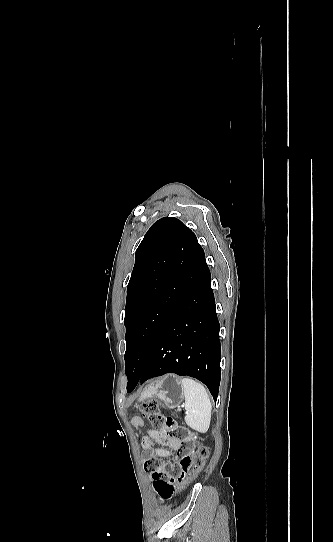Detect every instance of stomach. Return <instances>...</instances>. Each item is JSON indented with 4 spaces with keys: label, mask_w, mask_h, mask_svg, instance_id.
Here are the masks:
<instances>
[{
    "label": "stomach",
    "mask_w": 333,
    "mask_h": 542,
    "mask_svg": "<svg viewBox=\"0 0 333 542\" xmlns=\"http://www.w3.org/2000/svg\"><path fill=\"white\" fill-rule=\"evenodd\" d=\"M148 398H157L169 410H175L184 400L180 378L175 374H166L163 378L153 380L151 384L145 386L140 400H148Z\"/></svg>",
    "instance_id": "stomach-1"
}]
</instances>
